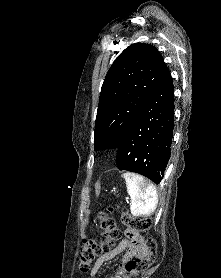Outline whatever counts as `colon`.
Listing matches in <instances>:
<instances>
[{
	"instance_id": "5ec220e1",
	"label": "colon",
	"mask_w": 221,
	"mask_h": 278,
	"mask_svg": "<svg viewBox=\"0 0 221 278\" xmlns=\"http://www.w3.org/2000/svg\"><path fill=\"white\" fill-rule=\"evenodd\" d=\"M115 210L116 207H108L109 212H114ZM97 219L103 230L104 242L98 243L93 239H87L84 241L79 253V269L81 272L89 271L95 256L103 252H108L110 244L118 240L121 236L114 219L109 217L105 212H99ZM121 220L128 229L136 232L148 231L152 225L149 218L133 217L127 212L121 213ZM156 254L157 243L153 238L149 237L143 242L142 254L125 265V273L127 275H137L144 272L155 261Z\"/></svg>"
}]
</instances>
